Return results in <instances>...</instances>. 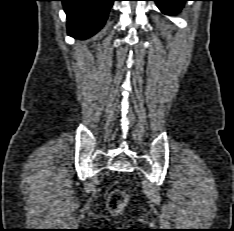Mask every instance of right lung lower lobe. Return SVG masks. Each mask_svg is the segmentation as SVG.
Wrapping results in <instances>:
<instances>
[{
    "label": "right lung lower lobe",
    "mask_w": 234,
    "mask_h": 231,
    "mask_svg": "<svg viewBox=\"0 0 234 231\" xmlns=\"http://www.w3.org/2000/svg\"><path fill=\"white\" fill-rule=\"evenodd\" d=\"M67 15L68 34L87 38L104 25L114 0H61Z\"/></svg>",
    "instance_id": "obj_1"
}]
</instances>
